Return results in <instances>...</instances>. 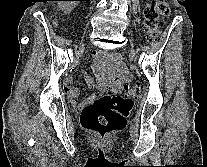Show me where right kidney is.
I'll return each mask as SVG.
<instances>
[{"mask_svg": "<svg viewBox=\"0 0 207 167\" xmlns=\"http://www.w3.org/2000/svg\"><path fill=\"white\" fill-rule=\"evenodd\" d=\"M58 6L59 9L64 11L65 13H70L72 11L73 7V3L75 2H65V1H58Z\"/></svg>", "mask_w": 207, "mask_h": 167, "instance_id": "right-kidney-1", "label": "right kidney"}]
</instances>
